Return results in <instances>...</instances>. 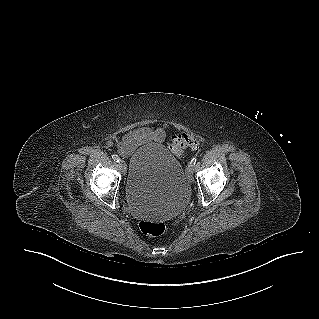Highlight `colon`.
Masks as SVG:
<instances>
[{
  "label": "colon",
  "instance_id": "obj_1",
  "mask_svg": "<svg viewBox=\"0 0 319 319\" xmlns=\"http://www.w3.org/2000/svg\"><path fill=\"white\" fill-rule=\"evenodd\" d=\"M201 141L197 136L191 135L186 129H179L176 135L171 137L168 148L178 158L182 159L186 148H196ZM141 232L147 236H159L164 233L165 225L160 221L141 220L139 222Z\"/></svg>",
  "mask_w": 319,
  "mask_h": 319
}]
</instances>
